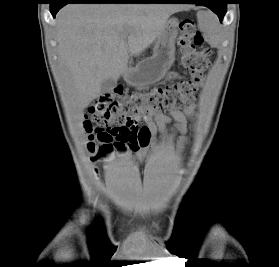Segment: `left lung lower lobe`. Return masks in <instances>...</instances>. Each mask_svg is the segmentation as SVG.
Instances as JSON below:
<instances>
[{
	"label": "left lung lower lobe",
	"mask_w": 279,
	"mask_h": 267,
	"mask_svg": "<svg viewBox=\"0 0 279 267\" xmlns=\"http://www.w3.org/2000/svg\"><path fill=\"white\" fill-rule=\"evenodd\" d=\"M160 3H195L210 8L222 21L226 13L227 0H163Z\"/></svg>",
	"instance_id": "1"
}]
</instances>
